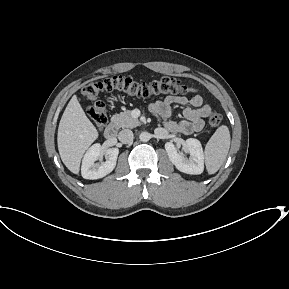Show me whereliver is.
Masks as SVG:
<instances>
[{
	"mask_svg": "<svg viewBox=\"0 0 289 289\" xmlns=\"http://www.w3.org/2000/svg\"><path fill=\"white\" fill-rule=\"evenodd\" d=\"M98 131L86 116L77 96H72L59 123L57 143L60 157L74 174L88 147L97 139Z\"/></svg>",
	"mask_w": 289,
	"mask_h": 289,
	"instance_id": "6515ba94",
	"label": "liver"
}]
</instances>
